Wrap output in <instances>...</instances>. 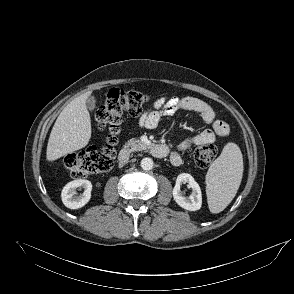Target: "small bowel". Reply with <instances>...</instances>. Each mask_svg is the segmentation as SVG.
<instances>
[{"mask_svg": "<svg viewBox=\"0 0 294 294\" xmlns=\"http://www.w3.org/2000/svg\"><path fill=\"white\" fill-rule=\"evenodd\" d=\"M182 110L200 114L204 123L211 126V129L204 130L179 144L177 150L173 151L170 155V160L175 166L182 163L181 153L188 150L192 145L213 143L217 138L225 137L229 133L228 125L216 118L213 108L205 101L196 97H161L157 99L152 107L142 114L139 126L154 129L158 126L162 117L174 116Z\"/></svg>", "mask_w": 294, "mask_h": 294, "instance_id": "c3829d8e", "label": "small bowel"}]
</instances>
